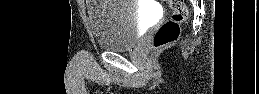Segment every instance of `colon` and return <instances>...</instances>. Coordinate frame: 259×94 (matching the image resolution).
Here are the masks:
<instances>
[{
	"instance_id": "5ec220e1",
	"label": "colon",
	"mask_w": 259,
	"mask_h": 94,
	"mask_svg": "<svg viewBox=\"0 0 259 94\" xmlns=\"http://www.w3.org/2000/svg\"><path fill=\"white\" fill-rule=\"evenodd\" d=\"M168 5L172 11L168 21L160 26L154 35V47L159 49L175 42L181 32V23L188 16V11L183 0H168Z\"/></svg>"
}]
</instances>
